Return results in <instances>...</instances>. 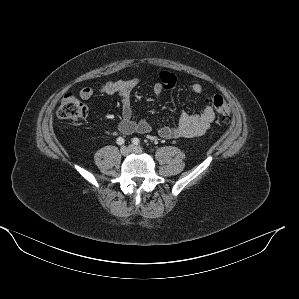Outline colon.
Returning <instances> with one entry per match:
<instances>
[{
    "mask_svg": "<svg viewBox=\"0 0 299 299\" xmlns=\"http://www.w3.org/2000/svg\"><path fill=\"white\" fill-rule=\"evenodd\" d=\"M211 103L218 115L221 117L222 122L230 124L231 108L226 99L221 95H215L212 97ZM87 114V105L73 94L65 95L57 109V115L59 118L75 123L85 119Z\"/></svg>",
    "mask_w": 299,
    "mask_h": 299,
    "instance_id": "1",
    "label": "colon"
}]
</instances>
